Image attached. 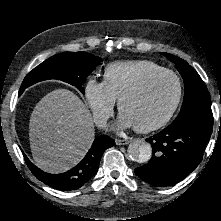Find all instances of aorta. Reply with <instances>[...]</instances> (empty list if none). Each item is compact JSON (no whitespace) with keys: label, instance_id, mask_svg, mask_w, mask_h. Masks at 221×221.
Wrapping results in <instances>:
<instances>
[{"label":"aorta","instance_id":"1","mask_svg":"<svg viewBox=\"0 0 221 221\" xmlns=\"http://www.w3.org/2000/svg\"><path fill=\"white\" fill-rule=\"evenodd\" d=\"M127 152L130 159L134 162L145 163L152 156V147L146 141L136 140L129 144Z\"/></svg>","mask_w":221,"mask_h":221}]
</instances>
